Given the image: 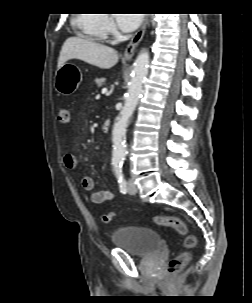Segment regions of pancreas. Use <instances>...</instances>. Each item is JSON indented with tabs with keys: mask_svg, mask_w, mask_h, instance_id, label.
<instances>
[{
	"mask_svg": "<svg viewBox=\"0 0 252 303\" xmlns=\"http://www.w3.org/2000/svg\"><path fill=\"white\" fill-rule=\"evenodd\" d=\"M95 83L97 87H102L105 84V78H96Z\"/></svg>",
	"mask_w": 252,
	"mask_h": 303,
	"instance_id": "pancreas-1",
	"label": "pancreas"
}]
</instances>
